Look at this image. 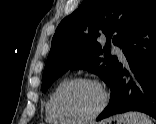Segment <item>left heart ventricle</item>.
<instances>
[{
  "mask_svg": "<svg viewBox=\"0 0 156 124\" xmlns=\"http://www.w3.org/2000/svg\"><path fill=\"white\" fill-rule=\"evenodd\" d=\"M100 90L91 84H79L69 88L61 98L62 109L75 117L83 118L93 114L100 106Z\"/></svg>",
  "mask_w": 156,
  "mask_h": 124,
  "instance_id": "1",
  "label": "left heart ventricle"
}]
</instances>
